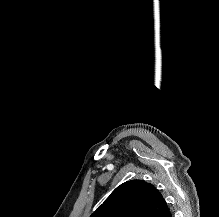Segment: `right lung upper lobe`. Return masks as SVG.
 Here are the masks:
<instances>
[{"mask_svg":"<svg viewBox=\"0 0 219 217\" xmlns=\"http://www.w3.org/2000/svg\"><path fill=\"white\" fill-rule=\"evenodd\" d=\"M161 193L150 183L131 180L118 186L90 217H170Z\"/></svg>","mask_w":219,"mask_h":217,"instance_id":"obj_1","label":"right lung upper lobe"}]
</instances>
